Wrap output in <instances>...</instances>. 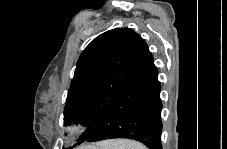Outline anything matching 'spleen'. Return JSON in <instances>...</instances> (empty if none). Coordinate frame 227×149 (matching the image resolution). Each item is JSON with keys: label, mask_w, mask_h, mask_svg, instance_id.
Masks as SVG:
<instances>
[{"label": "spleen", "mask_w": 227, "mask_h": 149, "mask_svg": "<svg viewBox=\"0 0 227 149\" xmlns=\"http://www.w3.org/2000/svg\"><path fill=\"white\" fill-rule=\"evenodd\" d=\"M101 149H145V146L136 141L119 139L104 141L98 144Z\"/></svg>", "instance_id": "obj_1"}]
</instances>
